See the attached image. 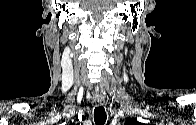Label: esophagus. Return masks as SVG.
<instances>
[{"instance_id": "esophagus-1", "label": "esophagus", "mask_w": 196, "mask_h": 125, "mask_svg": "<svg viewBox=\"0 0 196 125\" xmlns=\"http://www.w3.org/2000/svg\"><path fill=\"white\" fill-rule=\"evenodd\" d=\"M93 102L95 103L96 106H101L104 104V100L100 98L93 99Z\"/></svg>"}]
</instances>
